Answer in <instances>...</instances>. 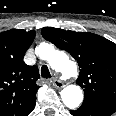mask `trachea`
<instances>
[{
	"label": "trachea",
	"mask_w": 116,
	"mask_h": 116,
	"mask_svg": "<svg viewBox=\"0 0 116 116\" xmlns=\"http://www.w3.org/2000/svg\"><path fill=\"white\" fill-rule=\"evenodd\" d=\"M41 76L43 78H51V74H50L49 69L46 65H43L41 67Z\"/></svg>",
	"instance_id": "3493384b"
}]
</instances>
